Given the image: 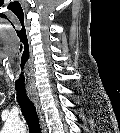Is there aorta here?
<instances>
[{"label": "aorta", "instance_id": "aorta-1", "mask_svg": "<svg viewBox=\"0 0 120 133\" xmlns=\"http://www.w3.org/2000/svg\"><path fill=\"white\" fill-rule=\"evenodd\" d=\"M23 124L21 122H9L6 125L7 133H16L17 131H21Z\"/></svg>", "mask_w": 120, "mask_h": 133}]
</instances>
